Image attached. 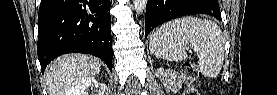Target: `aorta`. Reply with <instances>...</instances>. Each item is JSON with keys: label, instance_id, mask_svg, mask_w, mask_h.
Listing matches in <instances>:
<instances>
[{"label": "aorta", "instance_id": "762f6f07", "mask_svg": "<svg viewBox=\"0 0 277 95\" xmlns=\"http://www.w3.org/2000/svg\"><path fill=\"white\" fill-rule=\"evenodd\" d=\"M134 8L137 13H142L147 5V0H133Z\"/></svg>", "mask_w": 277, "mask_h": 95}]
</instances>
